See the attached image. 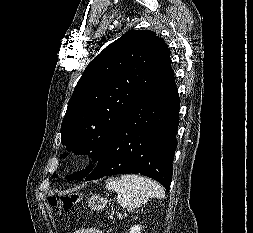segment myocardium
<instances>
[{
    "instance_id": "f54148a6",
    "label": "myocardium",
    "mask_w": 253,
    "mask_h": 233,
    "mask_svg": "<svg viewBox=\"0 0 253 233\" xmlns=\"http://www.w3.org/2000/svg\"><path fill=\"white\" fill-rule=\"evenodd\" d=\"M87 160V155L83 152H78L72 155L70 158V164L73 166H80L84 164Z\"/></svg>"
}]
</instances>
